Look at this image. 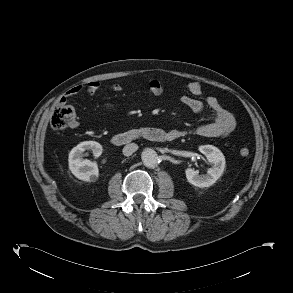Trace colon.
Wrapping results in <instances>:
<instances>
[{"instance_id":"colon-1","label":"colon","mask_w":293,"mask_h":293,"mask_svg":"<svg viewBox=\"0 0 293 293\" xmlns=\"http://www.w3.org/2000/svg\"><path fill=\"white\" fill-rule=\"evenodd\" d=\"M75 110L72 106L66 104V102H59L53 112L51 118V126L56 131L65 130L67 127L73 125L75 122ZM239 155L241 157H248L250 151L248 148L243 147L239 150Z\"/></svg>"}]
</instances>
